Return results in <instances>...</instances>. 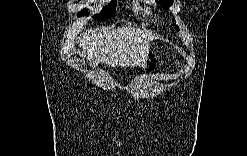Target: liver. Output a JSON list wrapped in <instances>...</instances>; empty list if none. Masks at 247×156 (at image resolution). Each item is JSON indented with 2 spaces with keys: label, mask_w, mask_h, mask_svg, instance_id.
Here are the masks:
<instances>
[{
  "label": "liver",
  "mask_w": 247,
  "mask_h": 156,
  "mask_svg": "<svg viewBox=\"0 0 247 156\" xmlns=\"http://www.w3.org/2000/svg\"><path fill=\"white\" fill-rule=\"evenodd\" d=\"M154 39L153 35L133 27L102 28L84 34L79 47L94 67L105 62L111 67L145 68L150 41Z\"/></svg>",
  "instance_id": "liver-1"
}]
</instances>
